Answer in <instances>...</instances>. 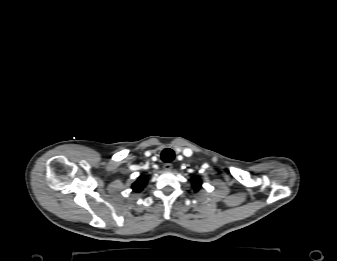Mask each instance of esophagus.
<instances>
[{
	"instance_id": "obj_1",
	"label": "esophagus",
	"mask_w": 337,
	"mask_h": 261,
	"mask_svg": "<svg viewBox=\"0 0 337 261\" xmlns=\"http://www.w3.org/2000/svg\"><path fill=\"white\" fill-rule=\"evenodd\" d=\"M172 168H173V165H172L171 163H165V164L163 165V169H164L165 171H170V170H172Z\"/></svg>"
}]
</instances>
